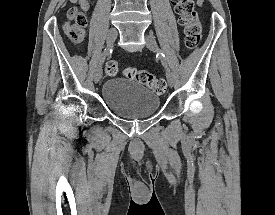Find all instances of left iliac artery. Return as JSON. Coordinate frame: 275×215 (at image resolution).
<instances>
[{"label": "left iliac artery", "mask_w": 275, "mask_h": 215, "mask_svg": "<svg viewBox=\"0 0 275 215\" xmlns=\"http://www.w3.org/2000/svg\"><path fill=\"white\" fill-rule=\"evenodd\" d=\"M158 55L163 59V64L166 66L165 55L161 51L158 52Z\"/></svg>", "instance_id": "obj_1"}]
</instances>
